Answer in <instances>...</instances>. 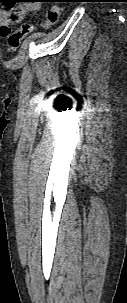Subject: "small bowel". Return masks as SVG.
I'll use <instances>...</instances> for the list:
<instances>
[{
  "instance_id": "obj_1",
  "label": "small bowel",
  "mask_w": 127,
  "mask_h": 303,
  "mask_svg": "<svg viewBox=\"0 0 127 303\" xmlns=\"http://www.w3.org/2000/svg\"><path fill=\"white\" fill-rule=\"evenodd\" d=\"M11 9L0 10V35L6 37L11 31V25L20 22L26 15L35 13L40 5L38 0H23Z\"/></svg>"
}]
</instances>
